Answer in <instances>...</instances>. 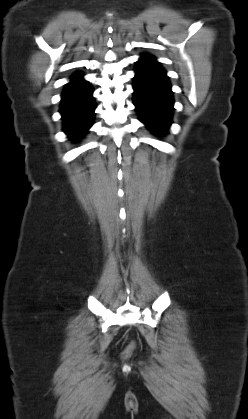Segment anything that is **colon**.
<instances>
[{
  "mask_svg": "<svg viewBox=\"0 0 248 419\" xmlns=\"http://www.w3.org/2000/svg\"><path fill=\"white\" fill-rule=\"evenodd\" d=\"M135 349H136V344L132 342L125 348V350L123 351V355L125 357H128L135 351Z\"/></svg>",
  "mask_w": 248,
  "mask_h": 419,
  "instance_id": "5ec220e1",
  "label": "colon"
}]
</instances>
